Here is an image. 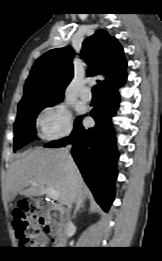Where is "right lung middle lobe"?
Wrapping results in <instances>:
<instances>
[{
  "mask_svg": "<svg viewBox=\"0 0 162 261\" xmlns=\"http://www.w3.org/2000/svg\"><path fill=\"white\" fill-rule=\"evenodd\" d=\"M62 98V96H35L20 101L14 123V151L35 138V120L39 112L60 102Z\"/></svg>",
  "mask_w": 162,
  "mask_h": 261,
  "instance_id": "right-lung-middle-lobe-1",
  "label": "right lung middle lobe"
}]
</instances>
